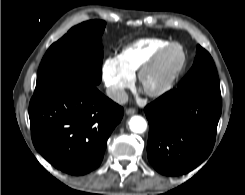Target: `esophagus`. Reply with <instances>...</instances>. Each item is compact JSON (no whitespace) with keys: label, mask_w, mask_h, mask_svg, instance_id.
I'll list each match as a JSON object with an SVG mask.
<instances>
[{"label":"esophagus","mask_w":245,"mask_h":195,"mask_svg":"<svg viewBox=\"0 0 245 195\" xmlns=\"http://www.w3.org/2000/svg\"><path fill=\"white\" fill-rule=\"evenodd\" d=\"M125 113L127 115H133V114L136 113V109H134V108H128V109H126Z\"/></svg>","instance_id":"34e87169"}]
</instances>
